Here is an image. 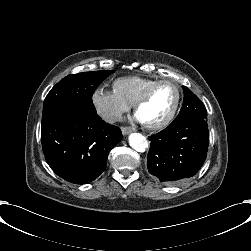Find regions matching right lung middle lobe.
Instances as JSON below:
<instances>
[{"label": "right lung middle lobe", "instance_id": "right-lung-middle-lobe-1", "mask_svg": "<svg viewBox=\"0 0 251 251\" xmlns=\"http://www.w3.org/2000/svg\"><path fill=\"white\" fill-rule=\"evenodd\" d=\"M112 73L114 70H103L71 74L64 77L46 96L42 120L66 106H77L90 112H96L92 95L104 79Z\"/></svg>", "mask_w": 251, "mask_h": 251}]
</instances>
